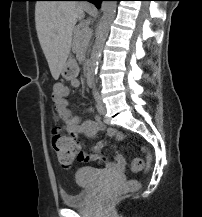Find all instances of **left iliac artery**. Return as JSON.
I'll use <instances>...</instances> for the list:
<instances>
[{"instance_id":"left-iliac-artery-1","label":"left iliac artery","mask_w":202,"mask_h":217,"mask_svg":"<svg viewBox=\"0 0 202 217\" xmlns=\"http://www.w3.org/2000/svg\"><path fill=\"white\" fill-rule=\"evenodd\" d=\"M93 96H94V98L96 99V100H98V98L100 97V95H99V92H98V90H97V88H96V85L95 84H93Z\"/></svg>"}]
</instances>
